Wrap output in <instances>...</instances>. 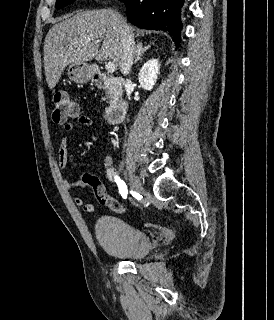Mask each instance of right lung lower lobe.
I'll return each instance as SVG.
<instances>
[{"mask_svg":"<svg viewBox=\"0 0 274 320\" xmlns=\"http://www.w3.org/2000/svg\"><path fill=\"white\" fill-rule=\"evenodd\" d=\"M126 6L127 19L134 25L151 30L168 31L180 42V11L184 0H121Z\"/></svg>","mask_w":274,"mask_h":320,"instance_id":"right-lung-lower-lobe-1","label":"right lung lower lobe"}]
</instances>
